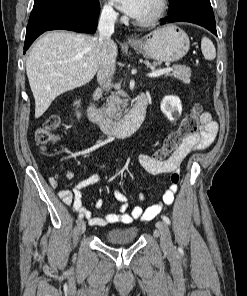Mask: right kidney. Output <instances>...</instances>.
Returning <instances> with one entry per match:
<instances>
[{
	"mask_svg": "<svg viewBox=\"0 0 247 296\" xmlns=\"http://www.w3.org/2000/svg\"><path fill=\"white\" fill-rule=\"evenodd\" d=\"M76 104H79V102H76ZM77 116L79 117V113L77 114Z\"/></svg>",
	"mask_w": 247,
	"mask_h": 296,
	"instance_id": "ca27d5eb",
	"label": "right kidney"
}]
</instances>
